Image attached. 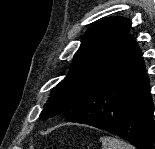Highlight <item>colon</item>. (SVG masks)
Returning <instances> with one entry per match:
<instances>
[{
  "label": "colon",
  "instance_id": "1",
  "mask_svg": "<svg viewBox=\"0 0 155 149\" xmlns=\"http://www.w3.org/2000/svg\"><path fill=\"white\" fill-rule=\"evenodd\" d=\"M46 149H52V146L51 145H48Z\"/></svg>",
  "mask_w": 155,
  "mask_h": 149
}]
</instances>
